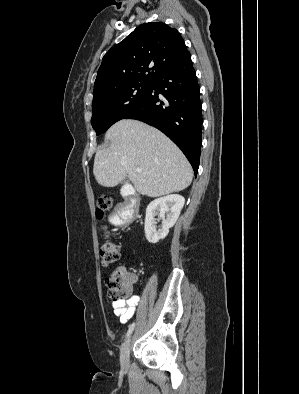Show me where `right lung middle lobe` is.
<instances>
[{"label":"right lung middle lobe","instance_id":"dd1d6c3e","mask_svg":"<svg viewBox=\"0 0 299 394\" xmlns=\"http://www.w3.org/2000/svg\"><path fill=\"white\" fill-rule=\"evenodd\" d=\"M151 82L129 83L93 95L91 125L96 134L104 133L123 119L144 98Z\"/></svg>","mask_w":299,"mask_h":394}]
</instances>
